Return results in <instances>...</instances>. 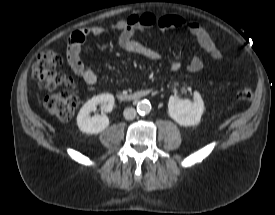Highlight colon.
<instances>
[{"mask_svg": "<svg viewBox=\"0 0 275 215\" xmlns=\"http://www.w3.org/2000/svg\"><path fill=\"white\" fill-rule=\"evenodd\" d=\"M61 62V56L57 52L44 51L38 55L32 74L41 87L53 91L43 99L46 110L59 120L67 121L79 105V96L75 82L56 70ZM253 94L254 91L249 86L241 88L238 93L242 100H250Z\"/></svg>", "mask_w": 275, "mask_h": 215, "instance_id": "obj_1", "label": "colon"}]
</instances>
